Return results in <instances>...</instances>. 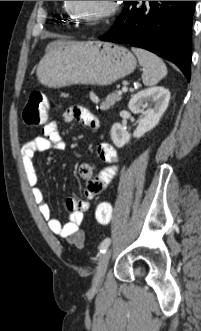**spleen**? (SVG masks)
<instances>
[{"label":"spleen","instance_id":"1","mask_svg":"<svg viewBox=\"0 0 201 331\" xmlns=\"http://www.w3.org/2000/svg\"><path fill=\"white\" fill-rule=\"evenodd\" d=\"M131 50L144 68L142 81L145 86H154L167 75V67L160 57L141 48L132 47Z\"/></svg>","mask_w":201,"mask_h":331}]
</instances>
